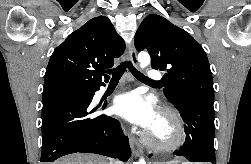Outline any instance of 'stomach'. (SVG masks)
<instances>
[{"instance_id": "obj_1", "label": "stomach", "mask_w": 251, "mask_h": 164, "mask_svg": "<svg viewBox=\"0 0 251 164\" xmlns=\"http://www.w3.org/2000/svg\"><path fill=\"white\" fill-rule=\"evenodd\" d=\"M154 164H186L185 162L179 163V161H173V162H157Z\"/></svg>"}]
</instances>
